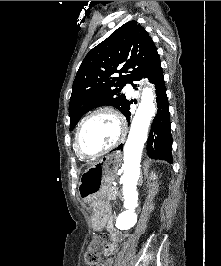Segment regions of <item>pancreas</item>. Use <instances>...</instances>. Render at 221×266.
Here are the masks:
<instances>
[{
	"label": "pancreas",
	"instance_id": "obj_1",
	"mask_svg": "<svg viewBox=\"0 0 221 266\" xmlns=\"http://www.w3.org/2000/svg\"><path fill=\"white\" fill-rule=\"evenodd\" d=\"M117 196H118V188L113 186L109 187L107 191V198L109 200H116Z\"/></svg>",
	"mask_w": 221,
	"mask_h": 266
}]
</instances>
